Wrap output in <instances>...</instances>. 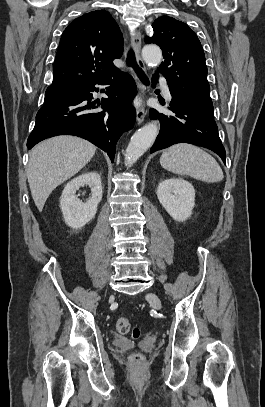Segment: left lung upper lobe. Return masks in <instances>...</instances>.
<instances>
[{
    "label": "left lung upper lobe",
    "instance_id": "left-lung-upper-lobe-1",
    "mask_svg": "<svg viewBox=\"0 0 265 407\" xmlns=\"http://www.w3.org/2000/svg\"><path fill=\"white\" fill-rule=\"evenodd\" d=\"M152 28L155 43L162 49L164 62L158 71L166 78L170 93L199 109L214 115L207 81V67L201 43L185 23L169 16L157 18Z\"/></svg>",
    "mask_w": 265,
    "mask_h": 407
}]
</instances>
